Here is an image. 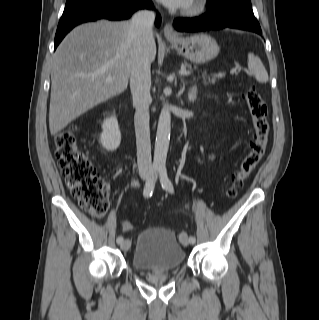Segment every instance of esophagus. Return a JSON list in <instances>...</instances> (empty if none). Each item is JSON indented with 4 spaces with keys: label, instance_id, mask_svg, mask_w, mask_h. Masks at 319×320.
<instances>
[{
    "label": "esophagus",
    "instance_id": "34e87169",
    "mask_svg": "<svg viewBox=\"0 0 319 320\" xmlns=\"http://www.w3.org/2000/svg\"><path fill=\"white\" fill-rule=\"evenodd\" d=\"M164 36L166 39H173V38H176L178 35L177 33L175 32L172 24L170 23H167L165 26H164Z\"/></svg>",
    "mask_w": 319,
    "mask_h": 320
}]
</instances>
